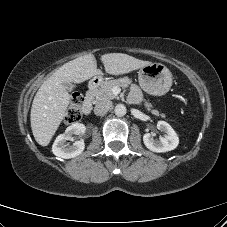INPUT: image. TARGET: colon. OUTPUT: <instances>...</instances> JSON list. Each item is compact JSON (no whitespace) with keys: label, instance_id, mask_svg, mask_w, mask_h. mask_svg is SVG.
<instances>
[{"label":"colon","instance_id":"obj_1","mask_svg":"<svg viewBox=\"0 0 227 227\" xmlns=\"http://www.w3.org/2000/svg\"><path fill=\"white\" fill-rule=\"evenodd\" d=\"M84 98L80 93H74L65 114V122L72 124L80 120Z\"/></svg>","mask_w":227,"mask_h":227}]
</instances>
